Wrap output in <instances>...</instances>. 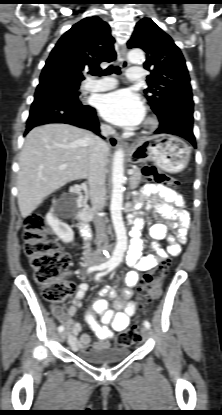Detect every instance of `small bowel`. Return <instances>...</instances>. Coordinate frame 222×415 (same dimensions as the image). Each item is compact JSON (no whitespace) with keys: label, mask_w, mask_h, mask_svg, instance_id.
Instances as JSON below:
<instances>
[{"label":"small bowel","mask_w":222,"mask_h":415,"mask_svg":"<svg viewBox=\"0 0 222 415\" xmlns=\"http://www.w3.org/2000/svg\"><path fill=\"white\" fill-rule=\"evenodd\" d=\"M140 199H149L147 210L154 209L159 217L168 221L178 222L180 227L178 241H171L167 248L163 249L159 241L171 238L167 234V226L161 222H157L149 229V236L152 239L151 247L155 251V254L143 255V241L138 231L135 232L127 254V263L132 267V270L126 275V287L123 289L121 296L112 288H102L100 295L106 296L113 301V309L109 308L106 299H94L85 315L86 323L97 337V342L94 344H92L89 334L83 333L79 336L81 326L72 320L88 290L87 283L82 282L78 285L76 294L66 310L58 306L52 308L55 317L66 326L68 343L74 351L109 348L114 335L126 330L129 326L130 317L135 314L136 304L132 300V297L133 288L139 282V273L152 270L160 261L165 260L168 256L179 255L181 245L186 242V232L189 228L190 217L186 211L184 200L177 192L164 186L146 184L140 190ZM141 226L142 219L138 216L136 218V230ZM96 315L101 317V322L97 321Z\"/></svg>","instance_id":"obj_1"}]
</instances>
